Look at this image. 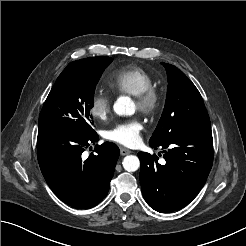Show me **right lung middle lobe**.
Listing matches in <instances>:
<instances>
[{
	"label": "right lung middle lobe",
	"instance_id": "right-lung-middle-lobe-1",
	"mask_svg": "<svg viewBox=\"0 0 246 246\" xmlns=\"http://www.w3.org/2000/svg\"><path fill=\"white\" fill-rule=\"evenodd\" d=\"M112 58L97 56L68 64L57 78L39 116V128L93 134L90 114L96 84Z\"/></svg>",
	"mask_w": 246,
	"mask_h": 246
}]
</instances>
